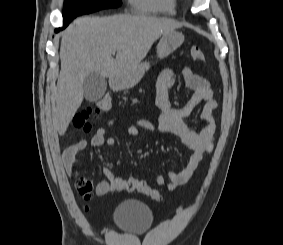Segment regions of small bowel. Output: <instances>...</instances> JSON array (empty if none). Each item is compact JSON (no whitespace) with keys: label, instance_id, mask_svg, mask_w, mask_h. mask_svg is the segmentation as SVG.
<instances>
[{"label":"small bowel","instance_id":"obj_1","mask_svg":"<svg viewBox=\"0 0 283 245\" xmlns=\"http://www.w3.org/2000/svg\"><path fill=\"white\" fill-rule=\"evenodd\" d=\"M182 77L187 88L193 90V94L187 105L182 109L172 108L168 90L174 84L175 72L171 68L164 69L156 81L155 104L160 110L158 124H154L146 119H139L128 127L127 132L131 136H139L141 130H146L157 134H171L179 137L186 145L190 147L192 153L188 159L185 168L179 172L170 171L168 173L169 181L165 177L157 175L155 180L158 185H165L168 190H175L177 187L186 183L194 174L204 157L212 153L215 143V122L213 112L217 108V102L209 82L194 73L191 68L185 67L182 70ZM200 104H203L200 119L197 124H188L185 118ZM117 122V118H112L107 122L106 127H100L92 136L90 144L93 147L116 145L113 137L107 136L108 128ZM87 146V141L81 139L68 146L62 154V162L67 173L72 174L75 157L78 152ZM107 180L100 181L95 187V193L98 196L107 194L111 189V183L116 178L115 174L108 167L103 169ZM88 211L89 207L86 206Z\"/></svg>","mask_w":283,"mask_h":245}]
</instances>
